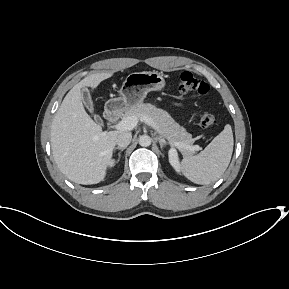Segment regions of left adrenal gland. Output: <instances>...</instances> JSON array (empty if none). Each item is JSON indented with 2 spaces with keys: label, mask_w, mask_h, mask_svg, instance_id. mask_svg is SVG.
Listing matches in <instances>:
<instances>
[{
  "label": "left adrenal gland",
  "mask_w": 289,
  "mask_h": 289,
  "mask_svg": "<svg viewBox=\"0 0 289 289\" xmlns=\"http://www.w3.org/2000/svg\"><path fill=\"white\" fill-rule=\"evenodd\" d=\"M156 139L158 140L159 144H160V147L161 149H163V147L166 145V140L163 139L162 137L160 136H157Z\"/></svg>",
  "instance_id": "left-adrenal-gland-1"
}]
</instances>
